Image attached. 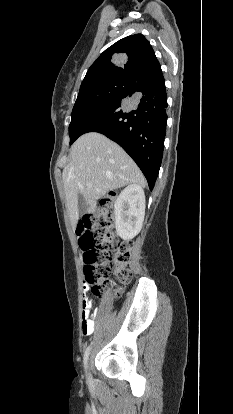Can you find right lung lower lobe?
I'll return each mask as SVG.
<instances>
[{
	"label": "right lung lower lobe",
	"mask_w": 233,
	"mask_h": 414,
	"mask_svg": "<svg viewBox=\"0 0 233 414\" xmlns=\"http://www.w3.org/2000/svg\"><path fill=\"white\" fill-rule=\"evenodd\" d=\"M122 96L92 113L78 136L98 132L118 143L145 175L150 190L158 176L167 123V94L162 71L132 81Z\"/></svg>",
	"instance_id": "right-lung-lower-lobe-1"
}]
</instances>
